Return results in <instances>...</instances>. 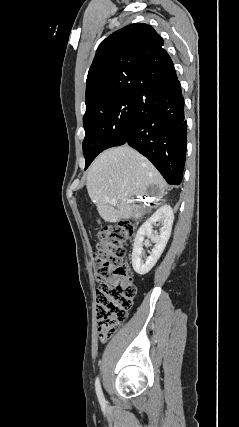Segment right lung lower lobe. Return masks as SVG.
<instances>
[{"label":"right lung lower lobe","mask_w":239,"mask_h":427,"mask_svg":"<svg viewBox=\"0 0 239 427\" xmlns=\"http://www.w3.org/2000/svg\"><path fill=\"white\" fill-rule=\"evenodd\" d=\"M123 144L147 157L169 184L181 183L187 124L178 78L157 84L138 96Z\"/></svg>","instance_id":"right-lung-lower-lobe-1"}]
</instances>
